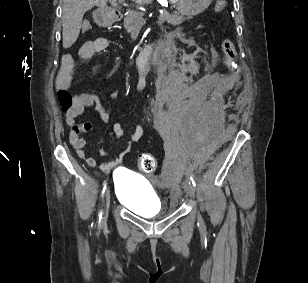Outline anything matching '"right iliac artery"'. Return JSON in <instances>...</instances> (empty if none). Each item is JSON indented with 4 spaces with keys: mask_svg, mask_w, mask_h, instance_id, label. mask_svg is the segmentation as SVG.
Here are the masks:
<instances>
[{
    "mask_svg": "<svg viewBox=\"0 0 308 283\" xmlns=\"http://www.w3.org/2000/svg\"><path fill=\"white\" fill-rule=\"evenodd\" d=\"M103 190H102V194L106 191V189H107V187H106V185H107V182L105 181L104 183H103ZM102 222V213L100 212V214H99V216H98V223L100 224Z\"/></svg>",
    "mask_w": 308,
    "mask_h": 283,
    "instance_id": "1",
    "label": "right iliac artery"
}]
</instances>
